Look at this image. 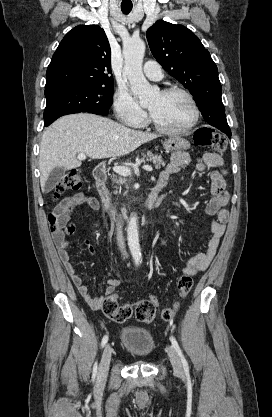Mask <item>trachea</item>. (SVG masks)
I'll return each instance as SVG.
<instances>
[{
    "label": "trachea",
    "instance_id": "trachea-1",
    "mask_svg": "<svg viewBox=\"0 0 272 417\" xmlns=\"http://www.w3.org/2000/svg\"><path fill=\"white\" fill-rule=\"evenodd\" d=\"M121 10L124 14H129L130 11L132 10V6H128V7L122 6Z\"/></svg>",
    "mask_w": 272,
    "mask_h": 417
}]
</instances>
